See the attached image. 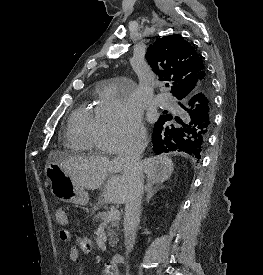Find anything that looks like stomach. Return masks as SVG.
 <instances>
[{"instance_id":"1","label":"stomach","mask_w":263,"mask_h":275,"mask_svg":"<svg viewBox=\"0 0 263 275\" xmlns=\"http://www.w3.org/2000/svg\"><path fill=\"white\" fill-rule=\"evenodd\" d=\"M45 175L50 182L51 193L63 202L86 205L89 202L88 193L78 186L70 176L54 161L45 166ZM99 208V205L96 206Z\"/></svg>"}]
</instances>
